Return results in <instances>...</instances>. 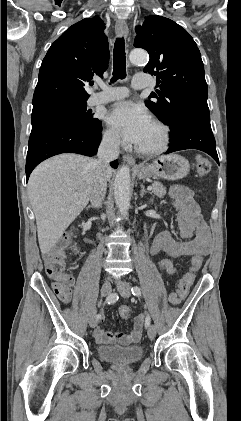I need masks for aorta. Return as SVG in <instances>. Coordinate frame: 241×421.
Listing matches in <instances>:
<instances>
[{
    "label": "aorta",
    "instance_id": "1",
    "mask_svg": "<svg viewBox=\"0 0 241 421\" xmlns=\"http://www.w3.org/2000/svg\"><path fill=\"white\" fill-rule=\"evenodd\" d=\"M130 61L134 65L146 64L149 60L148 53L143 49H134L129 55ZM114 198L118 211L123 216H127L130 207V169L123 165L114 181Z\"/></svg>",
    "mask_w": 241,
    "mask_h": 421
}]
</instances>
